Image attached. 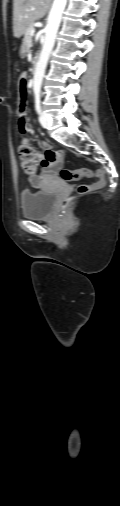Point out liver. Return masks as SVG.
I'll return each mask as SVG.
<instances>
[{"label": "liver", "mask_w": 120, "mask_h": 506, "mask_svg": "<svg viewBox=\"0 0 120 506\" xmlns=\"http://www.w3.org/2000/svg\"><path fill=\"white\" fill-rule=\"evenodd\" d=\"M51 0H14L13 1V33L20 38L27 27L35 20L45 16ZM34 7L35 10H29Z\"/></svg>", "instance_id": "liver-1"}]
</instances>
